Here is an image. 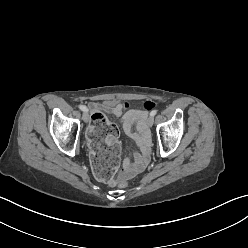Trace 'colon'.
<instances>
[{
  "mask_svg": "<svg viewBox=\"0 0 248 248\" xmlns=\"http://www.w3.org/2000/svg\"><path fill=\"white\" fill-rule=\"evenodd\" d=\"M142 106L146 111H151L156 103L147 100ZM117 133V127L110 123L102 112H93L89 129V147L95 153L90 157V164L97 180L118 183L120 188H127L129 186L128 181L123 176L118 177L116 175L118 159L121 156L120 145L112 143L107 147L104 146L107 134L116 137Z\"/></svg>",
  "mask_w": 248,
  "mask_h": 248,
  "instance_id": "5ec220e1",
  "label": "colon"
}]
</instances>
